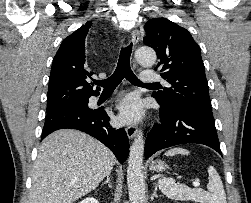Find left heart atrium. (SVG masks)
Segmentation results:
<instances>
[{
  "mask_svg": "<svg viewBox=\"0 0 251 203\" xmlns=\"http://www.w3.org/2000/svg\"><path fill=\"white\" fill-rule=\"evenodd\" d=\"M118 120L121 123H132L137 121L142 114L141 101L131 95L124 98L119 104Z\"/></svg>",
  "mask_w": 251,
  "mask_h": 203,
  "instance_id": "39dd6f15",
  "label": "left heart atrium"
}]
</instances>
